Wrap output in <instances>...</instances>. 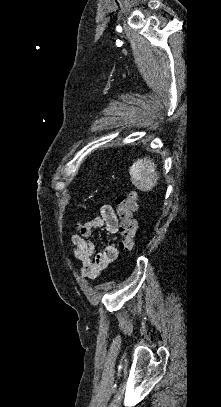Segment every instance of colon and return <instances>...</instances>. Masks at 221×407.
Instances as JSON below:
<instances>
[{
  "label": "colon",
  "instance_id": "obj_1",
  "mask_svg": "<svg viewBox=\"0 0 221 407\" xmlns=\"http://www.w3.org/2000/svg\"><path fill=\"white\" fill-rule=\"evenodd\" d=\"M116 215L119 219L118 232L120 235L119 248L130 251L137 233L134 214L138 207V197L133 191L116 198Z\"/></svg>",
  "mask_w": 221,
  "mask_h": 407
}]
</instances>
